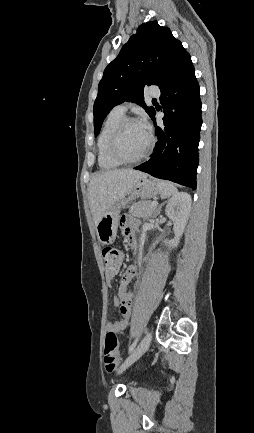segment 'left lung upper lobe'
<instances>
[{"instance_id": "obj_1", "label": "left lung upper lobe", "mask_w": 254, "mask_h": 433, "mask_svg": "<svg viewBox=\"0 0 254 433\" xmlns=\"http://www.w3.org/2000/svg\"><path fill=\"white\" fill-rule=\"evenodd\" d=\"M184 53L186 50L169 28L159 26L157 21L140 25L104 70L94 103L95 135L111 109L124 101L137 102L151 116L154 108L142 101L144 86L160 87Z\"/></svg>"}]
</instances>
